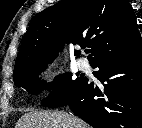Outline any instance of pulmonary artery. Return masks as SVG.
<instances>
[{
    "mask_svg": "<svg viewBox=\"0 0 142 128\" xmlns=\"http://www.w3.org/2000/svg\"><path fill=\"white\" fill-rule=\"evenodd\" d=\"M78 67H79L81 70H89L90 65H89V62L87 61V59H85V58H80V59L78 60Z\"/></svg>",
    "mask_w": 142,
    "mask_h": 128,
    "instance_id": "obj_1",
    "label": "pulmonary artery"
}]
</instances>
